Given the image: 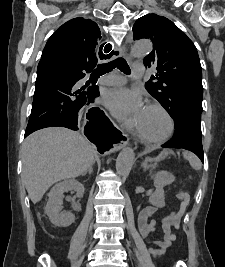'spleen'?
I'll list each match as a JSON object with an SVG mask.
<instances>
[{
	"label": "spleen",
	"instance_id": "obj_1",
	"mask_svg": "<svg viewBox=\"0 0 225 267\" xmlns=\"http://www.w3.org/2000/svg\"><path fill=\"white\" fill-rule=\"evenodd\" d=\"M183 156L186 160L189 161L190 165L194 169H200L201 168V163H200L199 159L194 154L185 151V152H183Z\"/></svg>",
	"mask_w": 225,
	"mask_h": 267
}]
</instances>
